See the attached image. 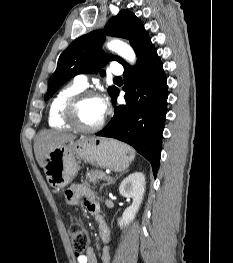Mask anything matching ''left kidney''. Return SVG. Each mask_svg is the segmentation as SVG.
Returning a JSON list of instances; mask_svg holds the SVG:
<instances>
[{
    "label": "left kidney",
    "mask_w": 233,
    "mask_h": 263,
    "mask_svg": "<svg viewBox=\"0 0 233 263\" xmlns=\"http://www.w3.org/2000/svg\"><path fill=\"white\" fill-rule=\"evenodd\" d=\"M145 192V176L135 172L126 177L119 186V193L125 198H132V204L125 209L122 217L118 219L120 227L129 225L134 220L143 200Z\"/></svg>",
    "instance_id": "1"
}]
</instances>
